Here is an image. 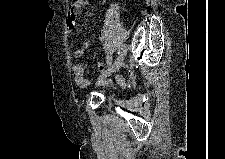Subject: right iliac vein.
<instances>
[{
    "instance_id": "1",
    "label": "right iliac vein",
    "mask_w": 225,
    "mask_h": 159,
    "mask_svg": "<svg viewBox=\"0 0 225 159\" xmlns=\"http://www.w3.org/2000/svg\"><path fill=\"white\" fill-rule=\"evenodd\" d=\"M126 48H123L121 53L119 54L117 60L115 61V63L106 71L105 74H103L102 76H100V78L98 79V81L96 82V84H100L102 83L106 78H108L109 76H111L112 74H114L119 67L122 65L123 60L126 56Z\"/></svg>"
}]
</instances>
